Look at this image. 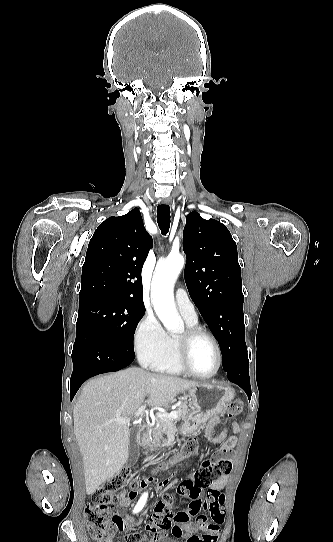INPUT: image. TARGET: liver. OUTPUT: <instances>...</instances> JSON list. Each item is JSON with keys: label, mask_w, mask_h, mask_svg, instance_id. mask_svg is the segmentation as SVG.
I'll use <instances>...</instances> for the list:
<instances>
[{"label": "liver", "mask_w": 333, "mask_h": 542, "mask_svg": "<svg viewBox=\"0 0 333 542\" xmlns=\"http://www.w3.org/2000/svg\"><path fill=\"white\" fill-rule=\"evenodd\" d=\"M199 384L175 376L151 374L141 368H127L89 380L73 408L86 494H94L128 460L129 424L114 422L116 418H131L141 406H168L175 396Z\"/></svg>", "instance_id": "obj_1"}]
</instances>
